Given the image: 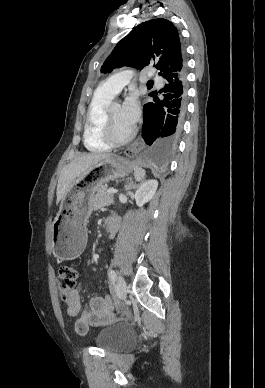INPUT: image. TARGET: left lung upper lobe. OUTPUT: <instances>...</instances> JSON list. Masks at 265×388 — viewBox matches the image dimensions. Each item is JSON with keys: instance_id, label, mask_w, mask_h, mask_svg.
Masks as SVG:
<instances>
[{"instance_id": "left-lung-upper-lobe-1", "label": "left lung upper lobe", "mask_w": 265, "mask_h": 388, "mask_svg": "<svg viewBox=\"0 0 265 388\" xmlns=\"http://www.w3.org/2000/svg\"><path fill=\"white\" fill-rule=\"evenodd\" d=\"M148 65L156 67L162 77L186 67L178 30L166 19H152L135 27L116 45L101 71L107 73L122 66L142 69Z\"/></svg>"}]
</instances>
